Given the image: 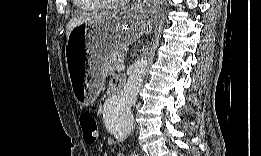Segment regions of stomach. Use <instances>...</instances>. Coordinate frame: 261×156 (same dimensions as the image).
<instances>
[{"instance_id":"1","label":"stomach","mask_w":261,"mask_h":156,"mask_svg":"<svg viewBox=\"0 0 261 156\" xmlns=\"http://www.w3.org/2000/svg\"><path fill=\"white\" fill-rule=\"evenodd\" d=\"M159 14L147 4L138 3L125 10L120 17L75 27L67 38L65 56L73 94L82 106L92 104L103 84L101 67L110 54L126 47L142 36ZM86 51L87 67L77 68L75 59Z\"/></svg>"}]
</instances>
